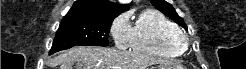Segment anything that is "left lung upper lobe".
<instances>
[{
    "mask_svg": "<svg viewBox=\"0 0 246 69\" xmlns=\"http://www.w3.org/2000/svg\"><path fill=\"white\" fill-rule=\"evenodd\" d=\"M155 8L164 13L166 16L174 20L176 23L187 29L184 20L176 13L171 4L164 0H150Z\"/></svg>",
    "mask_w": 246,
    "mask_h": 69,
    "instance_id": "left-lung-upper-lobe-1",
    "label": "left lung upper lobe"
}]
</instances>
